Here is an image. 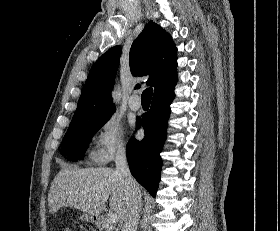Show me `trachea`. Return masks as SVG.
I'll use <instances>...</instances> for the list:
<instances>
[{"label":"trachea","mask_w":280,"mask_h":231,"mask_svg":"<svg viewBox=\"0 0 280 231\" xmlns=\"http://www.w3.org/2000/svg\"><path fill=\"white\" fill-rule=\"evenodd\" d=\"M152 88H147L141 95V101L143 105L149 106L152 98Z\"/></svg>","instance_id":"obj_1"}]
</instances>
